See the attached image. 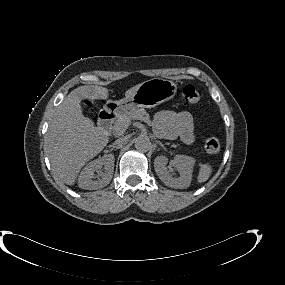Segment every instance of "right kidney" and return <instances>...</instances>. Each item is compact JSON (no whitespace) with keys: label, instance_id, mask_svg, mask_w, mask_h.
<instances>
[{"label":"right kidney","instance_id":"right-kidney-1","mask_svg":"<svg viewBox=\"0 0 285 285\" xmlns=\"http://www.w3.org/2000/svg\"><path fill=\"white\" fill-rule=\"evenodd\" d=\"M104 167V171L100 174L101 178L93 179L94 173ZM114 172V155L107 154L102 158L95 159L81 171L78 178V185L85 190H96L107 186Z\"/></svg>","mask_w":285,"mask_h":285}]
</instances>
